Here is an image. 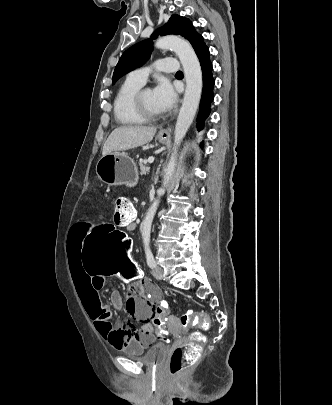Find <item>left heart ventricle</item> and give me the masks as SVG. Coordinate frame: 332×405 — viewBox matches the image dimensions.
I'll list each match as a JSON object with an SVG mask.
<instances>
[{
	"label": "left heart ventricle",
	"instance_id": "b2bd125f",
	"mask_svg": "<svg viewBox=\"0 0 332 405\" xmlns=\"http://www.w3.org/2000/svg\"><path fill=\"white\" fill-rule=\"evenodd\" d=\"M144 99V103L147 107V109L153 113V114H158L160 115L162 113V111L158 108V106L156 105L155 99H154V94H153V90L149 89L144 93L143 96Z\"/></svg>",
	"mask_w": 332,
	"mask_h": 405
}]
</instances>
